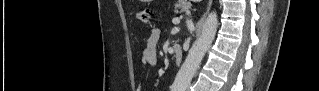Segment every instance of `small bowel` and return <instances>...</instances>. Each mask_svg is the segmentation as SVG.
Listing matches in <instances>:
<instances>
[{"instance_id": "1", "label": "small bowel", "mask_w": 319, "mask_h": 91, "mask_svg": "<svg viewBox=\"0 0 319 91\" xmlns=\"http://www.w3.org/2000/svg\"><path fill=\"white\" fill-rule=\"evenodd\" d=\"M160 29L154 28L150 32L146 46L141 53V62L144 65L154 66L157 64V45L160 40Z\"/></svg>"}]
</instances>
